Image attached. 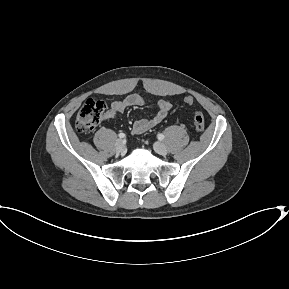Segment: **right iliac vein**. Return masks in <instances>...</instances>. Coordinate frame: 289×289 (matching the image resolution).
<instances>
[{
  "instance_id": "1",
  "label": "right iliac vein",
  "mask_w": 289,
  "mask_h": 289,
  "mask_svg": "<svg viewBox=\"0 0 289 289\" xmlns=\"http://www.w3.org/2000/svg\"><path fill=\"white\" fill-rule=\"evenodd\" d=\"M115 149L117 153H123L126 149L124 141L121 139H118L115 144Z\"/></svg>"
}]
</instances>
